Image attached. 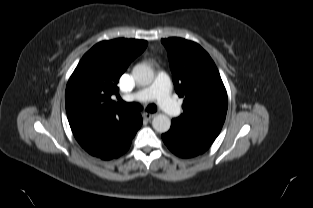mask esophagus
Returning <instances> with one entry per match:
<instances>
[{
  "mask_svg": "<svg viewBox=\"0 0 313 208\" xmlns=\"http://www.w3.org/2000/svg\"><path fill=\"white\" fill-rule=\"evenodd\" d=\"M143 117H144L145 119H147V120H150V119H152V118L155 117V114H153V113H148V112H144V113H143Z\"/></svg>",
  "mask_w": 313,
  "mask_h": 208,
  "instance_id": "1",
  "label": "esophagus"
}]
</instances>
